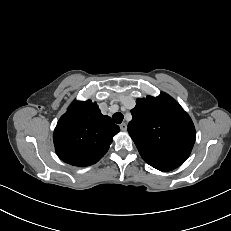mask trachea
<instances>
[{
	"label": "trachea",
	"mask_w": 231,
	"mask_h": 231,
	"mask_svg": "<svg viewBox=\"0 0 231 231\" xmlns=\"http://www.w3.org/2000/svg\"><path fill=\"white\" fill-rule=\"evenodd\" d=\"M123 118L124 116L120 112H117L112 116V119L116 124H120L123 121Z\"/></svg>",
	"instance_id": "3493384b"
}]
</instances>
